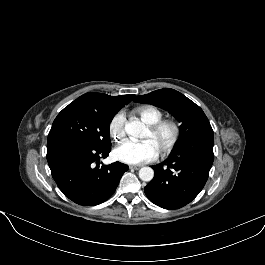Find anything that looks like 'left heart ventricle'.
<instances>
[{"instance_id":"left-heart-ventricle-1","label":"left heart ventricle","mask_w":265,"mask_h":265,"mask_svg":"<svg viewBox=\"0 0 265 265\" xmlns=\"http://www.w3.org/2000/svg\"><path fill=\"white\" fill-rule=\"evenodd\" d=\"M170 137V128H164L157 135H152L149 130H147L144 136V140H149L150 142H152L155 148L159 151L169 141Z\"/></svg>"}]
</instances>
